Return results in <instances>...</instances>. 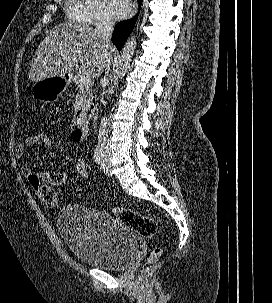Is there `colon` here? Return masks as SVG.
Returning a JSON list of instances; mask_svg holds the SVG:
<instances>
[{
  "mask_svg": "<svg viewBox=\"0 0 272 303\" xmlns=\"http://www.w3.org/2000/svg\"><path fill=\"white\" fill-rule=\"evenodd\" d=\"M36 145L44 151H51L55 148L56 142L54 137L47 133L41 132L36 134ZM77 173L83 179L88 177V167L84 159L78 158L75 162ZM42 202L49 208H55L58 205V196L54 192H49L40 195ZM114 214L123 224L135 230L143 237H152L157 234L159 227L156 220L143 213L131 209H111ZM161 254L160 248H154L150 254L149 261L154 262Z\"/></svg>",
  "mask_w": 272,
  "mask_h": 303,
  "instance_id": "5ec220e1",
  "label": "colon"
}]
</instances>
